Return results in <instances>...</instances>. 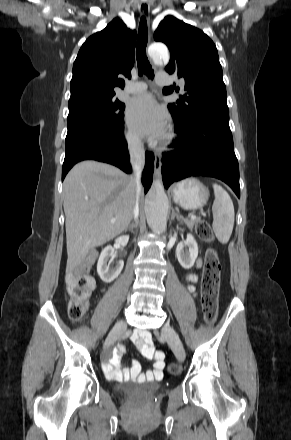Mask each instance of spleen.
<instances>
[{"instance_id":"obj_1","label":"spleen","mask_w":291,"mask_h":440,"mask_svg":"<svg viewBox=\"0 0 291 440\" xmlns=\"http://www.w3.org/2000/svg\"><path fill=\"white\" fill-rule=\"evenodd\" d=\"M215 200L212 206L213 230L220 243L226 244L233 231L234 206L227 193L220 185L213 184Z\"/></svg>"}]
</instances>
